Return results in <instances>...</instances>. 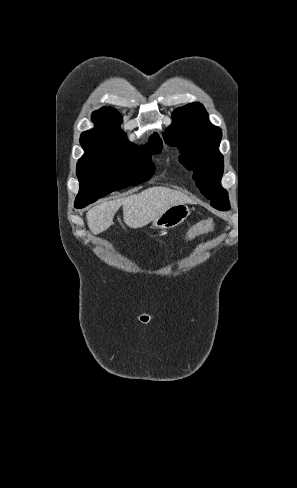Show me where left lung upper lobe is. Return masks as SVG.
<instances>
[{"label":"left lung upper lobe","mask_w":297,"mask_h":488,"mask_svg":"<svg viewBox=\"0 0 297 488\" xmlns=\"http://www.w3.org/2000/svg\"><path fill=\"white\" fill-rule=\"evenodd\" d=\"M221 129L208 120L203 105L187 104L173 112V122L164 139L178 146L181 162L194 171L193 179L201 193L218 210L230 209L228 193L221 187L223 156L218 150Z\"/></svg>","instance_id":"obj_1"}]
</instances>
